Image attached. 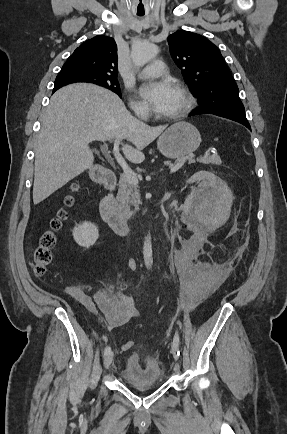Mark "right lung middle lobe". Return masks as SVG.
<instances>
[{
	"label": "right lung middle lobe",
	"mask_w": 287,
	"mask_h": 434,
	"mask_svg": "<svg viewBox=\"0 0 287 434\" xmlns=\"http://www.w3.org/2000/svg\"><path fill=\"white\" fill-rule=\"evenodd\" d=\"M92 83L110 89L121 97L117 76L92 73L76 68H62L55 80V86H64L70 83Z\"/></svg>",
	"instance_id": "obj_1"
}]
</instances>
